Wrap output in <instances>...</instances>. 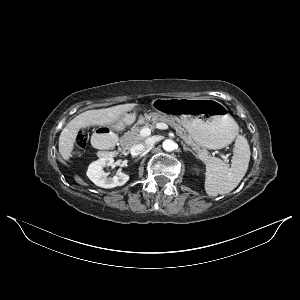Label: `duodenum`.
Wrapping results in <instances>:
<instances>
[{
	"label": "duodenum",
	"instance_id": "obj_1",
	"mask_svg": "<svg viewBox=\"0 0 300 300\" xmlns=\"http://www.w3.org/2000/svg\"><path fill=\"white\" fill-rule=\"evenodd\" d=\"M113 140V134L109 131L94 134L93 143L98 148L101 157H109L115 154V152L109 148Z\"/></svg>",
	"mask_w": 300,
	"mask_h": 300
}]
</instances>
